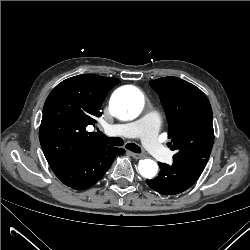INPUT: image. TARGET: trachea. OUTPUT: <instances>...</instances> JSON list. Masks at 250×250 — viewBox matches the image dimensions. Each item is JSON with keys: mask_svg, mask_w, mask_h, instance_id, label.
Masks as SVG:
<instances>
[{"mask_svg": "<svg viewBox=\"0 0 250 250\" xmlns=\"http://www.w3.org/2000/svg\"><path fill=\"white\" fill-rule=\"evenodd\" d=\"M97 135L103 139L106 143L110 144V145H113V146H122L123 145V140L119 137H107L106 135H104L101 131H98L97 132ZM125 147L132 151V152H135V153H140L141 152V149L139 146H137L136 144L134 143H127L125 145Z\"/></svg>", "mask_w": 250, "mask_h": 250, "instance_id": "trachea-1", "label": "trachea"}]
</instances>
